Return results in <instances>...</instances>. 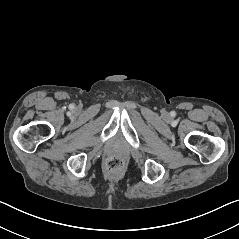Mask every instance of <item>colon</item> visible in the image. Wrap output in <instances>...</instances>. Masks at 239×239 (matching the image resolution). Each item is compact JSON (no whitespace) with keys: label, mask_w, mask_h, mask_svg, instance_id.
I'll return each instance as SVG.
<instances>
[{"label":"colon","mask_w":239,"mask_h":239,"mask_svg":"<svg viewBox=\"0 0 239 239\" xmlns=\"http://www.w3.org/2000/svg\"><path fill=\"white\" fill-rule=\"evenodd\" d=\"M108 168L119 169L123 165V160L120 157H111L106 162Z\"/></svg>","instance_id":"colon-1"}]
</instances>
